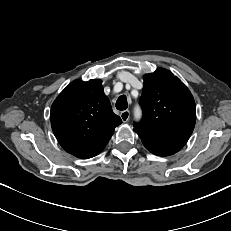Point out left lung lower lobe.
Here are the masks:
<instances>
[{
    "mask_svg": "<svg viewBox=\"0 0 231 231\" xmlns=\"http://www.w3.org/2000/svg\"><path fill=\"white\" fill-rule=\"evenodd\" d=\"M144 146L153 154L158 155V156H169L174 154L173 152L166 150V149H161L157 146H154L152 144L144 143Z\"/></svg>",
    "mask_w": 231,
    "mask_h": 231,
    "instance_id": "obj_1",
    "label": "left lung lower lobe"
}]
</instances>
